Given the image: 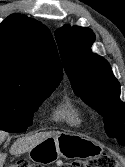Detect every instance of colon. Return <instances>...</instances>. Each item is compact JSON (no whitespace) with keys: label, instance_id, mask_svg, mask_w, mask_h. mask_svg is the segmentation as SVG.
<instances>
[{"label":"colon","instance_id":"5ec220e1","mask_svg":"<svg viewBox=\"0 0 125 167\" xmlns=\"http://www.w3.org/2000/svg\"><path fill=\"white\" fill-rule=\"evenodd\" d=\"M7 167H37L29 161L20 159L9 164ZM50 167H119L118 161L115 156L111 154H101L97 157L86 160H75L69 162L59 161L55 166Z\"/></svg>","mask_w":125,"mask_h":167}]
</instances>
